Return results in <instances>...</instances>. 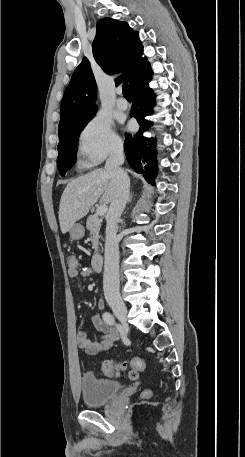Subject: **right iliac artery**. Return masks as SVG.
Here are the masks:
<instances>
[{
	"mask_svg": "<svg viewBox=\"0 0 245 457\" xmlns=\"http://www.w3.org/2000/svg\"><path fill=\"white\" fill-rule=\"evenodd\" d=\"M103 319L109 325H115L116 324L113 315L110 314L109 312H105L103 314Z\"/></svg>",
	"mask_w": 245,
	"mask_h": 457,
	"instance_id": "82829eb1",
	"label": "right iliac artery"
}]
</instances>
